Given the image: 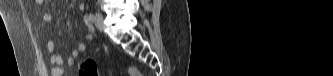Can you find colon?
Segmentation results:
<instances>
[{"label":"colon","instance_id":"colon-1","mask_svg":"<svg viewBox=\"0 0 333 76\" xmlns=\"http://www.w3.org/2000/svg\"><path fill=\"white\" fill-rule=\"evenodd\" d=\"M80 76H99V71L95 61L91 58L83 59L79 64ZM130 76H139L140 73L135 67H130L128 70Z\"/></svg>","mask_w":333,"mask_h":76}]
</instances>
